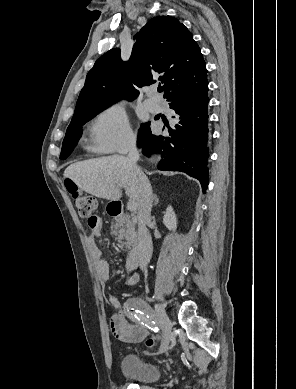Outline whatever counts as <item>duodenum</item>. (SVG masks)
<instances>
[{
	"instance_id": "1",
	"label": "duodenum",
	"mask_w": 296,
	"mask_h": 389,
	"mask_svg": "<svg viewBox=\"0 0 296 389\" xmlns=\"http://www.w3.org/2000/svg\"><path fill=\"white\" fill-rule=\"evenodd\" d=\"M109 213L115 218H121L123 216L121 203L118 201L112 202L109 206ZM151 252V241L135 234L131 238V250L126 263L127 269L129 271L134 270L139 264L146 262Z\"/></svg>"
}]
</instances>
